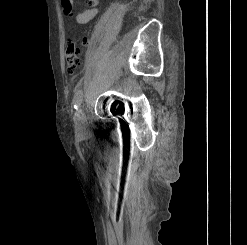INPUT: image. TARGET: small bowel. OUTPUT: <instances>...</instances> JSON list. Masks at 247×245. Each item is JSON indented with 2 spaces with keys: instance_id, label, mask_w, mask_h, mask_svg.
<instances>
[{
  "instance_id": "1",
  "label": "small bowel",
  "mask_w": 247,
  "mask_h": 245,
  "mask_svg": "<svg viewBox=\"0 0 247 245\" xmlns=\"http://www.w3.org/2000/svg\"><path fill=\"white\" fill-rule=\"evenodd\" d=\"M64 12L71 14L73 7V0H61ZM99 0H87L88 8L76 13L75 20L78 24H86L96 17L98 14Z\"/></svg>"
}]
</instances>
